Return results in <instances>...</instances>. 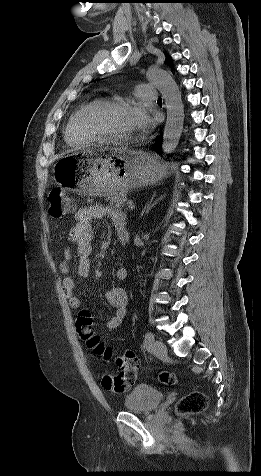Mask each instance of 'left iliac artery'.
<instances>
[{
  "label": "left iliac artery",
  "instance_id": "44dca946",
  "mask_svg": "<svg viewBox=\"0 0 261 476\" xmlns=\"http://www.w3.org/2000/svg\"><path fill=\"white\" fill-rule=\"evenodd\" d=\"M153 341H154V335H153V333H152V332H147L146 335H145L143 347H144V348H150V346L152 345Z\"/></svg>",
  "mask_w": 261,
  "mask_h": 476
}]
</instances>
